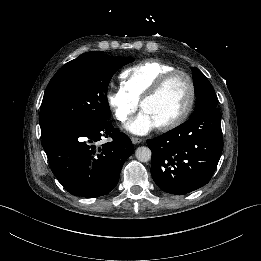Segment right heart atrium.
<instances>
[{"instance_id":"d8ad5b80","label":"right heart atrium","mask_w":261,"mask_h":261,"mask_svg":"<svg viewBox=\"0 0 261 261\" xmlns=\"http://www.w3.org/2000/svg\"><path fill=\"white\" fill-rule=\"evenodd\" d=\"M106 101L115 118L122 124H127L139 107V102L132 99L121 88L108 91Z\"/></svg>"}]
</instances>
